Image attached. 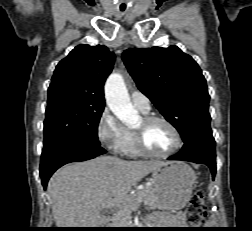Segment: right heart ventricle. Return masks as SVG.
<instances>
[{
    "label": "right heart ventricle",
    "instance_id": "e07e8e85",
    "mask_svg": "<svg viewBox=\"0 0 252 231\" xmlns=\"http://www.w3.org/2000/svg\"><path fill=\"white\" fill-rule=\"evenodd\" d=\"M142 113L147 114L145 112H142ZM125 129H126V137L120 151L129 156H141L142 153L138 150L135 144L132 129L130 128H125Z\"/></svg>",
    "mask_w": 252,
    "mask_h": 231
}]
</instances>
